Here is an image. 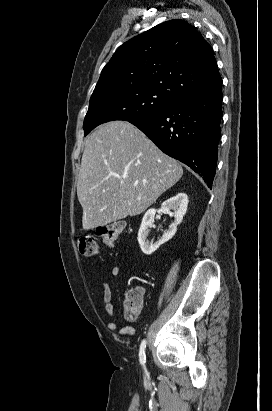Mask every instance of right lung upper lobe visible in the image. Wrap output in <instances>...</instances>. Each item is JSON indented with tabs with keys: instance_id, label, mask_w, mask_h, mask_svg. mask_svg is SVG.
I'll return each instance as SVG.
<instances>
[{
	"instance_id": "1",
	"label": "right lung upper lobe",
	"mask_w": 272,
	"mask_h": 411,
	"mask_svg": "<svg viewBox=\"0 0 272 411\" xmlns=\"http://www.w3.org/2000/svg\"><path fill=\"white\" fill-rule=\"evenodd\" d=\"M221 81L210 44L189 23L174 19L122 44L102 70L93 93L148 87L180 99Z\"/></svg>"
}]
</instances>
